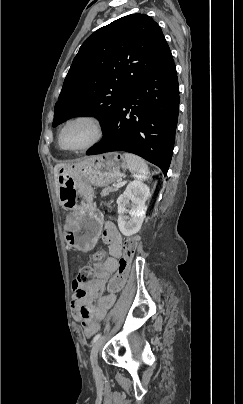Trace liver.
<instances>
[{"label":"liver","mask_w":243,"mask_h":404,"mask_svg":"<svg viewBox=\"0 0 243 404\" xmlns=\"http://www.w3.org/2000/svg\"><path fill=\"white\" fill-rule=\"evenodd\" d=\"M60 168H66V164H57V166H55V168H54V180H55L57 198H59L58 172H59Z\"/></svg>","instance_id":"obj_1"}]
</instances>
